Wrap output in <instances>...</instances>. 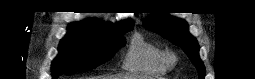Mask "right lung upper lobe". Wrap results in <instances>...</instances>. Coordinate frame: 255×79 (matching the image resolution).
<instances>
[{
	"mask_svg": "<svg viewBox=\"0 0 255 79\" xmlns=\"http://www.w3.org/2000/svg\"><path fill=\"white\" fill-rule=\"evenodd\" d=\"M129 26H133V22L131 20L116 24L104 23L96 20H86L84 22L71 23L68 27V30L69 32L116 37L122 29Z\"/></svg>",
	"mask_w": 255,
	"mask_h": 79,
	"instance_id": "cb5924a9",
	"label": "right lung upper lobe"
}]
</instances>
